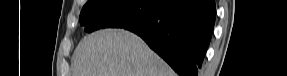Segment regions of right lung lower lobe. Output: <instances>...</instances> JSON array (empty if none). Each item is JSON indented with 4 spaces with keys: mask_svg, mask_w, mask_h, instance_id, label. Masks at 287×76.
<instances>
[{
    "mask_svg": "<svg viewBox=\"0 0 287 76\" xmlns=\"http://www.w3.org/2000/svg\"><path fill=\"white\" fill-rule=\"evenodd\" d=\"M214 23V0H161L151 17L125 29L139 35L179 76H198Z\"/></svg>",
    "mask_w": 287,
    "mask_h": 76,
    "instance_id": "obj_1",
    "label": "right lung lower lobe"
}]
</instances>
